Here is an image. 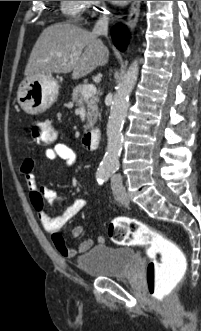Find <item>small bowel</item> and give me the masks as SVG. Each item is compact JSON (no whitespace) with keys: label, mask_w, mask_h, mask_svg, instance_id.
<instances>
[{"label":"small bowel","mask_w":201,"mask_h":331,"mask_svg":"<svg viewBox=\"0 0 201 331\" xmlns=\"http://www.w3.org/2000/svg\"><path fill=\"white\" fill-rule=\"evenodd\" d=\"M45 156L52 161L63 160L68 167L73 166L76 159L74 151L66 144L59 142L54 143L52 147L48 148L45 151ZM34 166L35 161L33 159H26L20 166V172L27 184L30 202L43 228L52 234V241L57 252L65 258H72L85 253L93 246L92 239H87L81 242L78 247L72 248L68 246L67 239L60 233L61 229L84 209L85 200L81 198L76 199L61 215L51 217L45 209L44 202H54L56 200V193L39 185L33 173ZM82 234L83 227L76 226L72 229L70 237L76 239ZM96 240L98 243H103L104 237L98 235Z\"/></svg>","instance_id":"obj_1"}]
</instances>
